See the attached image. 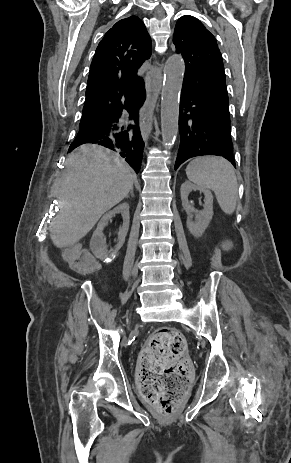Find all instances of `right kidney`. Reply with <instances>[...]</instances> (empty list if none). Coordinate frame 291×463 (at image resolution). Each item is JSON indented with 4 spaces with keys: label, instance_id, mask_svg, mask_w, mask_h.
<instances>
[{
    "label": "right kidney",
    "instance_id": "right-kidney-1",
    "mask_svg": "<svg viewBox=\"0 0 291 463\" xmlns=\"http://www.w3.org/2000/svg\"><path fill=\"white\" fill-rule=\"evenodd\" d=\"M120 213L123 217V225L118 232V243L116 245L115 251L121 248L125 242V237L129 229V205L127 203H122L115 207L113 210L107 212L100 220L97 225L96 230L94 231L91 241L90 249L93 254L99 259H105L108 253L106 240L104 239L103 229L108 225V221L111 220L115 214Z\"/></svg>",
    "mask_w": 291,
    "mask_h": 463
}]
</instances>
